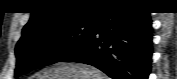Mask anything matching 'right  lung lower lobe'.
Segmentation results:
<instances>
[{
  "mask_svg": "<svg viewBox=\"0 0 177 79\" xmlns=\"http://www.w3.org/2000/svg\"><path fill=\"white\" fill-rule=\"evenodd\" d=\"M151 57L149 12L113 6L103 10L89 37L60 61L93 65L113 79H148Z\"/></svg>",
  "mask_w": 177,
  "mask_h": 79,
  "instance_id": "1",
  "label": "right lung lower lobe"
}]
</instances>
